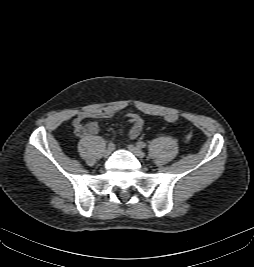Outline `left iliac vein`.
<instances>
[{
	"label": "left iliac vein",
	"mask_w": 254,
	"mask_h": 267,
	"mask_svg": "<svg viewBox=\"0 0 254 267\" xmlns=\"http://www.w3.org/2000/svg\"><path fill=\"white\" fill-rule=\"evenodd\" d=\"M128 149L131 153H133L137 158L143 159L145 157L144 152L137 148L136 146L130 144L128 145Z\"/></svg>",
	"instance_id": "obj_1"
}]
</instances>
